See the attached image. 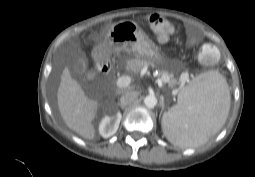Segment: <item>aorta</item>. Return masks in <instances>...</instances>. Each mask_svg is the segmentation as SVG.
Returning a JSON list of instances; mask_svg holds the SVG:
<instances>
[{
    "mask_svg": "<svg viewBox=\"0 0 255 177\" xmlns=\"http://www.w3.org/2000/svg\"><path fill=\"white\" fill-rule=\"evenodd\" d=\"M144 104L148 108H154L157 105V98L154 95H148L144 98Z\"/></svg>",
    "mask_w": 255,
    "mask_h": 177,
    "instance_id": "aorta-1",
    "label": "aorta"
}]
</instances>
